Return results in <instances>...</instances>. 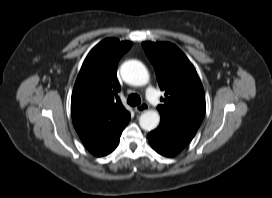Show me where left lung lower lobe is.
Returning a JSON list of instances; mask_svg holds the SVG:
<instances>
[{
    "instance_id": "left-lung-lower-lobe-1",
    "label": "left lung lower lobe",
    "mask_w": 272,
    "mask_h": 198,
    "mask_svg": "<svg viewBox=\"0 0 272 198\" xmlns=\"http://www.w3.org/2000/svg\"><path fill=\"white\" fill-rule=\"evenodd\" d=\"M196 131L170 120L161 119L158 128L148 134V140L156 152L166 157H173L190 143Z\"/></svg>"
}]
</instances>
